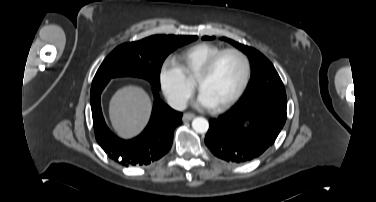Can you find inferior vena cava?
Masks as SVG:
<instances>
[{
  "label": "inferior vena cava",
  "mask_w": 376,
  "mask_h": 202,
  "mask_svg": "<svg viewBox=\"0 0 376 202\" xmlns=\"http://www.w3.org/2000/svg\"><path fill=\"white\" fill-rule=\"evenodd\" d=\"M168 104L175 110L183 111L187 107V100L183 97H169L167 99Z\"/></svg>",
  "instance_id": "inferior-vena-cava-1"
}]
</instances>
